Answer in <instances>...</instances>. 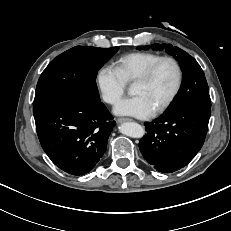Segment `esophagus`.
I'll list each match as a JSON object with an SVG mask.
<instances>
[{"instance_id": "obj_1", "label": "esophagus", "mask_w": 231, "mask_h": 231, "mask_svg": "<svg viewBox=\"0 0 231 231\" xmlns=\"http://www.w3.org/2000/svg\"><path fill=\"white\" fill-rule=\"evenodd\" d=\"M127 121H132V119L129 118H118L117 123H122V122H127Z\"/></svg>"}]
</instances>
